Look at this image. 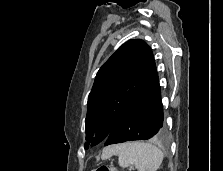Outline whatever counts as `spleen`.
Masks as SVG:
<instances>
[{
  "label": "spleen",
  "instance_id": "1",
  "mask_svg": "<svg viewBox=\"0 0 223 171\" xmlns=\"http://www.w3.org/2000/svg\"><path fill=\"white\" fill-rule=\"evenodd\" d=\"M117 154L120 167L135 165L138 171H157L164 154L155 145L144 142H129L117 145L113 149Z\"/></svg>",
  "mask_w": 223,
  "mask_h": 171
}]
</instances>
